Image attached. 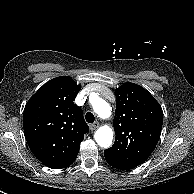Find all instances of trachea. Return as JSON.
Here are the masks:
<instances>
[{"mask_svg":"<svg viewBox=\"0 0 194 194\" xmlns=\"http://www.w3.org/2000/svg\"><path fill=\"white\" fill-rule=\"evenodd\" d=\"M85 119L88 123H93L95 120V117H94L93 113L87 112L85 115Z\"/></svg>","mask_w":194,"mask_h":194,"instance_id":"3493384b","label":"trachea"}]
</instances>
